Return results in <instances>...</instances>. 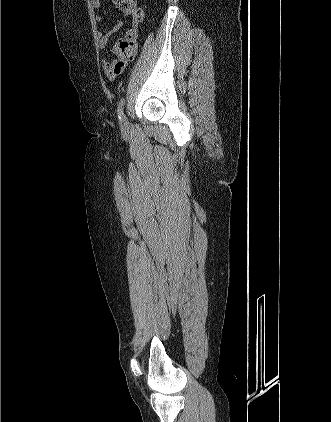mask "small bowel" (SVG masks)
<instances>
[{"mask_svg": "<svg viewBox=\"0 0 331 422\" xmlns=\"http://www.w3.org/2000/svg\"><path fill=\"white\" fill-rule=\"evenodd\" d=\"M91 6L96 11L95 22L97 44L100 49H105L109 36L117 32L122 27V22L117 20L111 27H103L102 16L98 13V10L101 6L100 0H91ZM137 38V28H130L125 33L124 38H121L114 43L112 47V53L114 54V57L111 59L104 57L102 59V69L109 79H116V77L124 71L127 62L133 60L136 57Z\"/></svg>", "mask_w": 331, "mask_h": 422, "instance_id": "1", "label": "small bowel"}]
</instances>
